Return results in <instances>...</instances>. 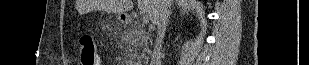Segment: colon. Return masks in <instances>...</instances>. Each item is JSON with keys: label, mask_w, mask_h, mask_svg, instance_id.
Returning <instances> with one entry per match:
<instances>
[{"label": "colon", "mask_w": 309, "mask_h": 65, "mask_svg": "<svg viewBox=\"0 0 309 65\" xmlns=\"http://www.w3.org/2000/svg\"><path fill=\"white\" fill-rule=\"evenodd\" d=\"M82 65H98L99 55L97 53L93 38L90 35H83L79 40Z\"/></svg>", "instance_id": "obj_1"}]
</instances>
